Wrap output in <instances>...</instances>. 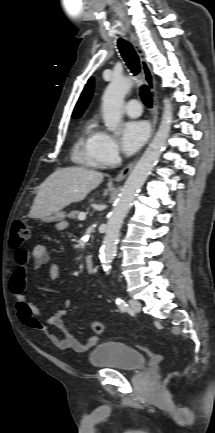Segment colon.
Here are the masks:
<instances>
[{
	"mask_svg": "<svg viewBox=\"0 0 215 433\" xmlns=\"http://www.w3.org/2000/svg\"><path fill=\"white\" fill-rule=\"evenodd\" d=\"M31 238L29 227L22 221H15L12 225L10 244L13 248H19ZM91 328L94 333L100 335L104 332V325L101 322H92Z\"/></svg>",
	"mask_w": 215,
	"mask_h": 433,
	"instance_id": "5ec220e1",
	"label": "colon"
}]
</instances>
